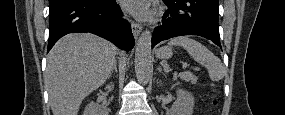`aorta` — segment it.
<instances>
[{
  "label": "aorta",
  "instance_id": "aorta-1",
  "mask_svg": "<svg viewBox=\"0 0 285 115\" xmlns=\"http://www.w3.org/2000/svg\"><path fill=\"white\" fill-rule=\"evenodd\" d=\"M151 40V32L146 30L142 32L136 46L135 72L137 80L143 84L148 83L151 74Z\"/></svg>",
  "mask_w": 285,
  "mask_h": 115
}]
</instances>
